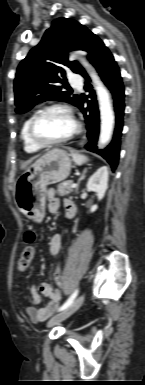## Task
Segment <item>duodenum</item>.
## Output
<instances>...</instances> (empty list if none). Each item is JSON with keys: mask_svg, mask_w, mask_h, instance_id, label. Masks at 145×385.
<instances>
[{"mask_svg": "<svg viewBox=\"0 0 145 385\" xmlns=\"http://www.w3.org/2000/svg\"><path fill=\"white\" fill-rule=\"evenodd\" d=\"M68 217H72V213L70 211L67 212Z\"/></svg>", "mask_w": 145, "mask_h": 385, "instance_id": "obj_1", "label": "duodenum"}]
</instances>
